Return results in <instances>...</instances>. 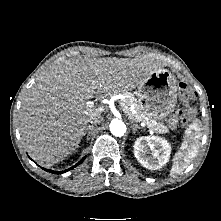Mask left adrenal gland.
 Instances as JSON below:
<instances>
[{
  "label": "left adrenal gland",
  "instance_id": "left-adrenal-gland-1",
  "mask_svg": "<svg viewBox=\"0 0 221 221\" xmlns=\"http://www.w3.org/2000/svg\"><path fill=\"white\" fill-rule=\"evenodd\" d=\"M131 123H132L133 134H136L137 129H141V127L135 124L133 121Z\"/></svg>",
  "mask_w": 221,
  "mask_h": 221
}]
</instances>
